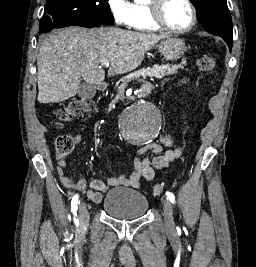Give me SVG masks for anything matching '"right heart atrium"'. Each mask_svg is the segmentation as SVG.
I'll return each instance as SVG.
<instances>
[{"label": "right heart atrium", "mask_w": 256, "mask_h": 267, "mask_svg": "<svg viewBox=\"0 0 256 267\" xmlns=\"http://www.w3.org/2000/svg\"><path fill=\"white\" fill-rule=\"evenodd\" d=\"M114 22H121L124 28H131V18L129 16L114 14Z\"/></svg>", "instance_id": "right-heart-atrium-1"}]
</instances>
